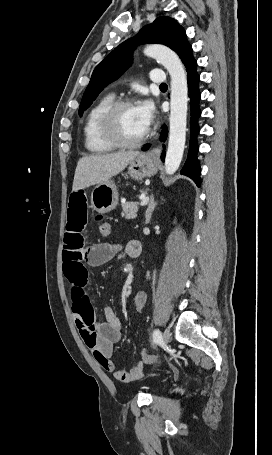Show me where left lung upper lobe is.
Returning <instances> with one entry per match:
<instances>
[{
	"label": "left lung upper lobe",
	"instance_id": "obj_1",
	"mask_svg": "<svg viewBox=\"0 0 272 455\" xmlns=\"http://www.w3.org/2000/svg\"><path fill=\"white\" fill-rule=\"evenodd\" d=\"M140 43L164 44L174 50L185 63L192 56V47L187 41L184 29L172 18L161 16L152 24L143 27L131 39L117 46L93 71L80 104L79 115L90 107L93 100L111 82L119 78L131 65L132 54Z\"/></svg>",
	"mask_w": 272,
	"mask_h": 455
}]
</instances>
